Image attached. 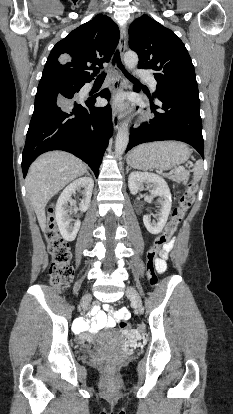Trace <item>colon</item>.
<instances>
[{
    "label": "colon",
    "instance_id": "colon-1",
    "mask_svg": "<svg viewBox=\"0 0 233 414\" xmlns=\"http://www.w3.org/2000/svg\"><path fill=\"white\" fill-rule=\"evenodd\" d=\"M194 184L190 183L187 186L186 192L180 197L178 206H176L171 215V219L168 222L163 234L159 235L148 255L147 261V275L152 285L157 283V271L155 267V261L162 255V248L170 243V239L176 230L178 223L182 220L186 211L190 208L194 199ZM48 243L49 252L53 258L52 265L50 267V284L59 289L69 284L74 276V271L70 261V248L69 244L61 237L54 218L53 208H49L48 212V227L45 233ZM120 328L123 331L129 332L131 327L127 321L120 322ZM107 371L113 370V364L109 361L104 364Z\"/></svg>",
    "mask_w": 233,
    "mask_h": 414
}]
</instances>
